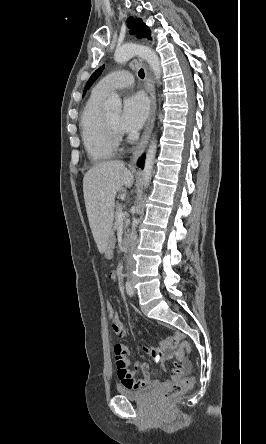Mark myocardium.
Wrapping results in <instances>:
<instances>
[{
	"label": "myocardium",
	"instance_id": "myocardium-1",
	"mask_svg": "<svg viewBox=\"0 0 266 444\" xmlns=\"http://www.w3.org/2000/svg\"><path fill=\"white\" fill-rule=\"evenodd\" d=\"M103 127H104V131L105 134L107 136V138L109 139V141L117 146L119 145L122 140H123V133L116 129L107 119V117H104V121H103Z\"/></svg>",
	"mask_w": 266,
	"mask_h": 444
}]
</instances>
